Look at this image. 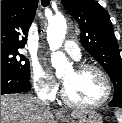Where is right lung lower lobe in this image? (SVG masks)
Wrapping results in <instances>:
<instances>
[{
	"mask_svg": "<svg viewBox=\"0 0 122 123\" xmlns=\"http://www.w3.org/2000/svg\"><path fill=\"white\" fill-rule=\"evenodd\" d=\"M30 78L1 67V95L27 92L31 89Z\"/></svg>",
	"mask_w": 122,
	"mask_h": 123,
	"instance_id": "98d812e1",
	"label": "right lung lower lobe"
}]
</instances>
